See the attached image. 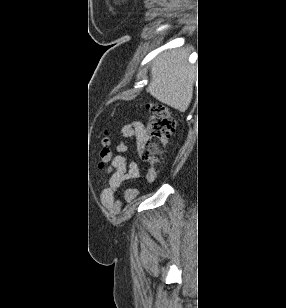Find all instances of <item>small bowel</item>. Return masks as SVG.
<instances>
[{
  "instance_id": "obj_1",
  "label": "small bowel",
  "mask_w": 286,
  "mask_h": 308,
  "mask_svg": "<svg viewBox=\"0 0 286 308\" xmlns=\"http://www.w3.org/2000/svg\"><path fill=\"white\" fill-rule=\"evenodd\" d=\"M144 126L141 122H133L125 125L122 128L123 139L117 144V151L119 154L114 158L111 166V174L109 178V185L114 193L117 188L127 180H133L140 176V169L136 162H129L126 157L127 152V142L129 140H134L139 144L144 135ZM146 177L149 180H154L155 172L152 170H147ZM137 194V190L130 188L125 192V200H132Z\"/></svg>"
}]
</instances>
